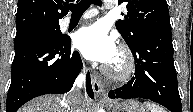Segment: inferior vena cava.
<instances>
[{
  "instance_id": "602c4592",
  "label": "inferior vena cava",
  "mask_w": 193,
  "mask_h": 112,
  "mask_svg": "<svg viewBox=\"0 0 193 112\" xmlns=\"http://www.w3.org/2000/svg\"><path fill=\"white\" fill-rule=\"evenodd\" d=\"M84 77L80 76L75 82L73 88L68 95V105L70 112H86L85 110V94L83 93Z\"/></svg>"
}]
</instances>
